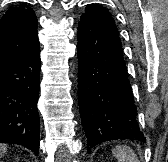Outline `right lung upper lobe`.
Returning a JSON list of instances; mask_svg holds the SVG:
<instances>
[{
	"mask_svg": "<svg viewBox=\"0 0 168 162\" xmlns=\"http://www.w3.org/2000/svg\"><path fill=\"white\" fill-rule=\"evenodd\" d=\"M38 48L34 11L26 4L11 7L0 20V67Z\"/></svg>",
	"mask_w": 168,
	"mask_h": 162,
	"instance_id": "right-lung-upper-lobe-1",
	"label": "right lung upper lobe"
}]
</instances>
